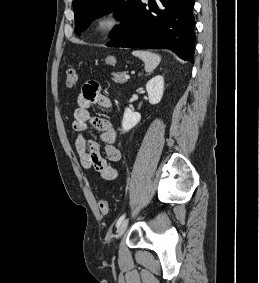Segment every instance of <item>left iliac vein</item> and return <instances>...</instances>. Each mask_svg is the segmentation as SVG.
Masks as SVG:
<instances>
[{
  "instance_id": "obj_1",
  "label": "left iliac vein",
  "mask_w": 259,
  "mask_h": 283,
  "mask_svg": "<svg viewBox=\"0 0 259 283\" xmlns=\"http://www.w3.org/2000/svg\"><path fill=\"white\" fill-rule=\"evenodd\" d=\"M128 226V219L123 220V222L120 224L118 230H117V238H120L124 232L126 231Z\"/></svg>"
}]
</instances>
